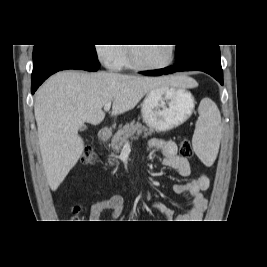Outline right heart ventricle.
<instances>
[{
  "label": "right heart ventricle",
  "mask_w": 267,
  "mask_h": 267,
  "mask_svg": "<svg viewBox=\"0 0 267 267\" xmlns=\"http://www.w3.org/2000/svg\"><path fill=\"white\" fill-rule=\"evenodd\" d=\"M118 67H130V64L127 61V55L124 51L120 56Z\"/></svg>",
  "instance_id": "e07e8e85"
}]
</instances>
